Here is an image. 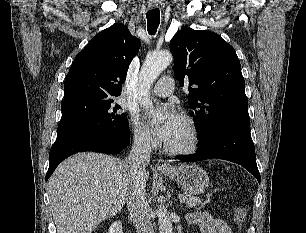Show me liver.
<instances>
[{"instance_id":"liver-1","label":"liver","mask_w":306,"mask_h":233,"mask_svg":"<svg viewBox=\"0 0 306 233\" xmlns=\"http://www.w3.org/2000/svg\"><path fill=\"white\" fill-rule=\"evenodd\" d=\"M143 179L146 185V169ZM130 184L126 160L88 152L63 161L48 181L57 233H92L122 209Z\"/></svg>"}]
</instances>
